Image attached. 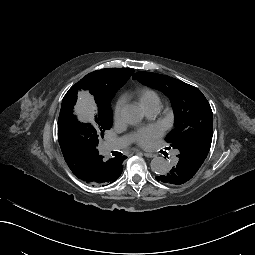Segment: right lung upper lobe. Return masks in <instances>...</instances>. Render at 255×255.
I'll list each match as a JSON object with an SVG mask.
<instances>
[{"mask_svg": "<svg viewBox=\"0 0 255 255\" xmlns=\"http://www.w3.org/2000/svg\"><path fill=\"white\" fill-rule=\"evenodd\" d=\"M133 72L134 70L129 68H107L91 72L69 89L62 104L73 106L74 110L79 95L80 104L84 107L98 108L102 104L110 103ZM61 150L73 174L96 186H106L115 182L122 173V162L126 158L122 156L106 160L96 147L90 148L87 152H76L68 147H61ZM92 171L99 173L97 180L90 178Z\"/></svg>", "mask_w": 255, "mask_h": 255, "instance_id": "1", "label": "right lung upper lobe"}]
</instances>
